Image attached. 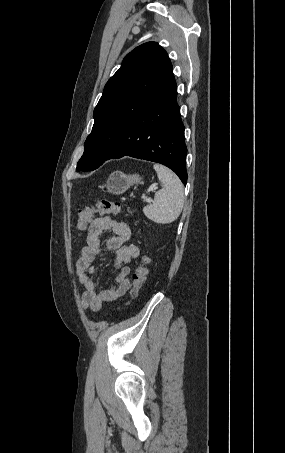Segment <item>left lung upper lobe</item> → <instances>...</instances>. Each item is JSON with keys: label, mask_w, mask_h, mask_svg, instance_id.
Returning <instances> with one entry per match:
<instances>
[{"label": "left lung upper lobe", "mask_w": 285, "mask_h": 453, "mask_svg": "<svg viewBox=\"0 0 285 453\" xmlns=\"http://www.w3.org/2000/svg\"><path fill=\"white\" fill-rule=\"evenodd\" d=\"M171 69L167 52L156 42L144 43L125 56L94 109V125L77 163L78 171L95 170L105 162Z\"/></svg>", "instance_id": "1"}]
</instances>
